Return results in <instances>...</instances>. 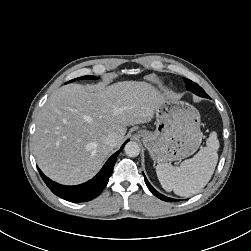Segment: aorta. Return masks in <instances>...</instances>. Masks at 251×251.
Instances as JSON below:
<instances>
[{
	"instance_id": "762f6f07",
	"label": "aorta",
	"mask_w": 251,
	"mask_h": 251,
	"mask_svg": "<svg viewBox=\"0 0 251 251\" xmlns=\"http://www.w3.org/2000/svg\"><path fill=\"white\" fill-rule=\"evenodd\" d=\"M125 153L129 157H136L140 153V147L138 143L134 141L128 142L124 147Z\"/></svg>"
}]
</instances>
